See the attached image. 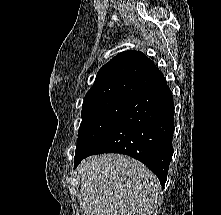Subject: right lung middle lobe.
<instances>
[{"label": "right lung middle lobe", "mask_w": 221, "mask_h": 215, "mask_svg": "<svg viewBox=\"0 0 221 215\" xmlns=\"http://www.w3.org/2000/svg\"><path fill=\"white\" fill-rule=\"evenodd\" d=\"M132 99L108 98L82 105L75 159L86 155L106 133Z\"/></svg>", "instance_id": "dd1d6c3e"}]
</instances>
